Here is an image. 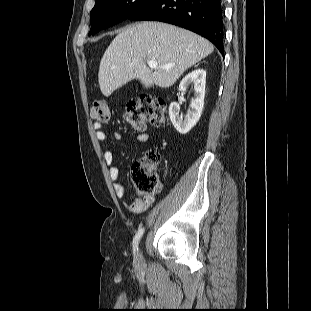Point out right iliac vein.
I'll return each instance as SVG.
<instances>
[{"instance_id": "63e3f726", "label": "right iliac vein", "mask_w": 311, "mask_h": 311, "mask_svg": "<svg viewBox=\"0 0 311 311\" xmlns=\"http://www.w3.org/2000/svg\"><path fill=\"white\" fill-rule=\"evenodd\" d=\"M141 262H142V256H141V254L139 253L138 256H137V258H136V264L139 266V265H141Z\"/></svg>"}]
</instances>
